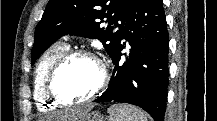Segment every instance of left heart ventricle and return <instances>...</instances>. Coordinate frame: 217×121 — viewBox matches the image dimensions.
<instances>
[{"instance_id":"left-heart-ventricle-1","label":"left heart ventricle","mask_w":217,"mask_h":121,"mask_svg":"<svg viewBox=\"0 0 217 121\" xmlns=\"http://www.w3.org/2000/svg\"><path fill=\"white\" fill-rule=\"evenodd\" d=\"M99 80V66L91 59L77 58L58 73L55 89L63 99L79 101L93 92Z\"/></svg>"}]
</instances>
